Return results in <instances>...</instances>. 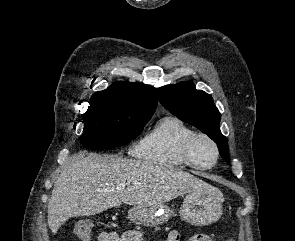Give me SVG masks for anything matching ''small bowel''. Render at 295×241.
<instances>
[{"label": "small bowel", "instance_id": "small-bowel-1", "mask_svg": "<svg viewBox=\"0 0 295 241\" xmlns=\"http://www.w3.org/2000/svg\"><path fill=\"white\" fill-rule=\"evenodd\" d=\"M98 241H146L145 234L141 230H129L122 235H117L115 232H103L99 235ZM167 241H181L180 234L176 231H171ZM187 241H211L206 235H195Z\"/></svg>", "mask_w": 295, "mask_h": 241}]
</instances>
